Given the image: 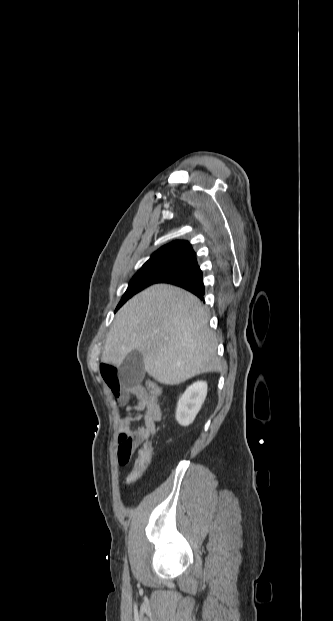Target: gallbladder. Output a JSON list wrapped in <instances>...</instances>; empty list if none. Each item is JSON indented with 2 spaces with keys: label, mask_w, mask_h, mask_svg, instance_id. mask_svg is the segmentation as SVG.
<instances>
[{
  "label": "gallbladder",
  "mask_w": 333,
  "mask_h": 621,
  "mask_svg": "<svg viewBox=\"0 0 333 621\" xmlns=\"http://www.w3.org/2000/svg\"><path fill=\"white\" fill-rule=\"evenodd\" d=\"M145 376L143 356L133 350L124 359L118 369L119 381L126 387H132L142 382Z\"/></svg>",
  "instance_id": "1"
}]
</instances>
